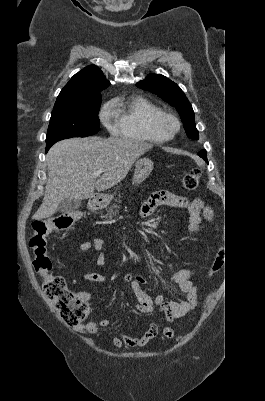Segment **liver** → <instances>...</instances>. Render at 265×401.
Masks as SVG:
<instances>
[{
  "label": "liver",
  "mask_w": 265,
  "mask_h": 401,
  "mask_svg": "<svg viewBox=\"0 0 265 401\" xmlns=\"http://www.w3.org/2000/svg\"><path fill=\"white\" fill-rule=\"evenodd\" d=\"M153 148L150 142L132 138H67L51 146L46 154L48 180L42 205L32 219L52 217L64 198H90L94 190H106L128 174L133 162ZM104 168L95 180L92 172Z\"/></svg>",
  "instance_id": "1"
}]
</instances>
